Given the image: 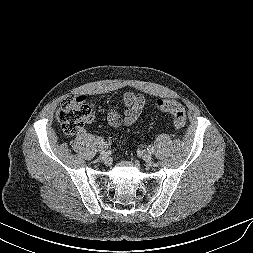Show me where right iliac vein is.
<instances>
[{"instance_id": "right-iliac-vein-1", "label": "right iliac vein", "mask_w": 253, "mask_h": 253, "mask_svg": "<svg viewBox=\"0 0 253 253\" xmlns=\"http://www.w3.org/2000/svg\"><path fill=\"white\" fill-rule=\"evenodd\" d=\"M108 146L105 143H102L98 146V151L102 154L105 153V151L107 150Z\"/></svg>"}]
</instances>
